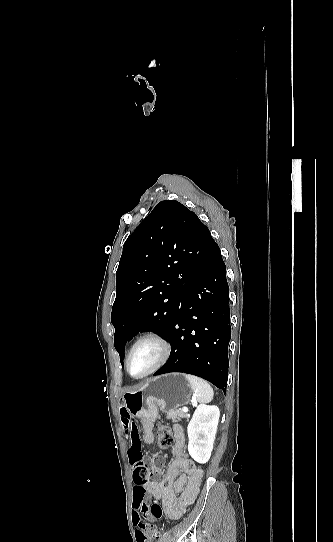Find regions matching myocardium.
Returning a JSON list of instances; mask_svg holds the SVG:
<instances>
[{"mask_svg":"<svg viewBox=\"0 0 333 542\" xmlns=\"http://www.w3.org/2000/svg\"><path fill=\"white\" fill-rule=\"evenodd\" d=\"M131 236V235H130ZM145 342H154L158 348H159V358L157 362L154 364L152 368H150L147 372L141 374V375H133L129 370V362L132 354L134 351L143 343ZM171 356V346L167 339L163 337L162 335L154 332H148L146 334H143L138 339L134 341V343L131 345L126 358H125V370L128 373V375L134 379H143L146 378L158 370H160L169 360Z\"/></svg>","mask_w":333,"mask_h":542,"instance_id":"f54148a6","label":"myocardium"}]
</instances>
